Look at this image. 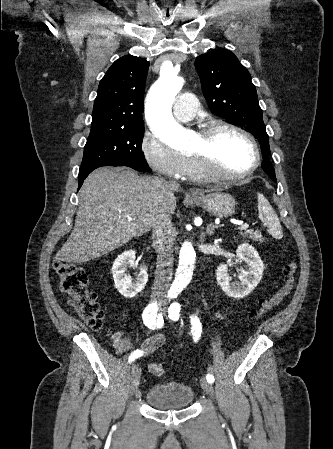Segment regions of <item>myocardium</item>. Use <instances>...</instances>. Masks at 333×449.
<instances>
[{"label":"myocardium","instance_id":"myocardium-1","mask_svg":"<svg viewBox=\"0 0 333 449\" xmlns=\"http://www.w3.org/2000/svg\"><path fill=\"white\" fill-rule=\"evenodd\" d=\"M229 130L240 134L244 137L251 145L254 152V163L252 166L242 172L235 174H219L213 171L208 163V157L205 151H200L196 153H191L189 157L194 161L199 173L204 179L214 181V182H234L242 180L249 175H251L259 166L261 160V154L259 146L253 137V135L247 130L228 123V122H208L205 123L199 130L198 136H200L204 143L207 144L209 140L219 131Z\"/></svg>","mask_w":333,"mask_h":449}]
</instances>
